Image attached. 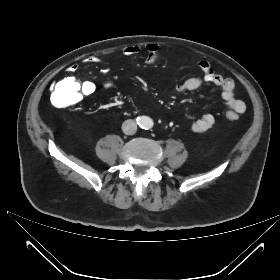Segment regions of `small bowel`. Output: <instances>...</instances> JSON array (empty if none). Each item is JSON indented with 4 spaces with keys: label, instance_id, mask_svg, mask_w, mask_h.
Segmentation results:
<instances>
[{
    "label": "small bowel",
    "instance_id": "c3829d8e",
    "mask_svg": "<svg viewBox=\"0 0 280 280\" xmlns=\"http://www.w3.org/2000/svg\"><path fill=\"white\" fill-rule=\"evenodd\" d=\"M142 49L138 46L131 45L127 46L122 50V53L126 56H137L141 53ZM146 52V63L153 64L158 57V46L155 44H149L145 47ZM101 59L98 56H90L87 58V63L95 64L100 62ZM199 67L202 74L196 77L189 78L176 86V91L179 94L194 91L199 89L204 84H213L221 88L222 99L228 107L226 117L234 114L238 117L239 114L243 113L246 109L245 103L237 99L234 96V81L225 77L219 73H216L211 65L205 61L201 60L199 62ZM79 69L77 64H71L68 67V71L71 73H76ZM101 83L104 87H112L114 82L109 76V71L107 68H102L99 72ZM81 98L83 96H90L96 91V83L91 80H85L81 83ZM215 123L214 116L211 114H204L199 119H197L192 124V130L196 133H201L210 129Z\"/></svg>",
    "mask_w": 280,
    "mask_h": 280
}]
</instances>
